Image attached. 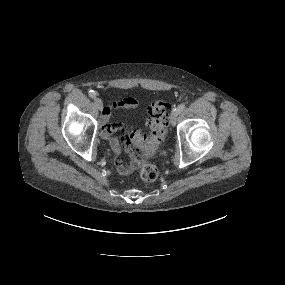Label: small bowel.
<instances>
[{
	"mask_svg": "<svg viewBox=\"0 0 285 285\" xmlns=\"http://www.w3.org/2000/svg\"><path fill=\"white\" fill-rule=\"evenodd\" d=\"M139 105V102L137 99L133 98V97H125L122 98L120 100H116L113 101L111 104H109L108 106H106L102 112L101 115V122L104 124L103 129L101 130V136L104 138L109 137L112 133H114L115 131L112 129V125H116L120 130H123V126L119 123H113V124H109L106 125V123L109 120L110 114L113 110L116 109H129V108H136ZM124 141V139H123ZM113 142V144H111V147L113 149V151L118 154L120 152V143L118 140L116 139H112L111 143ZM115 166L117 171L122 174H128L131 167H129L126 163H124L123 161L117 160L115 162Z\"/></svg>",
	"mask_w": 285,
	"mask_h": 285,
	"instance_id": "obj_1",
	"label": "small bowel"
}]
</instances>
